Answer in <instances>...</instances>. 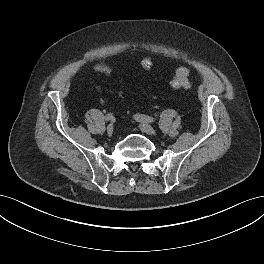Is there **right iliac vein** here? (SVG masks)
<instances>
[{"instance_id":"63e3f726","label":"right iliac vein","mask_w":264,"mask_h":264,"mask_svg":"<svg viewBox=\"0 0 264 264\" xmlns=\"http://www.w3.org/2000/svg\"><path fill=\"white\" fill-rule=\"evenodd\" d=\"M113 129H114L113 125H112V124H109V125L107 126V133H108L109 135H111V134L113 133Z\"/></svg>"}]
</instances>
